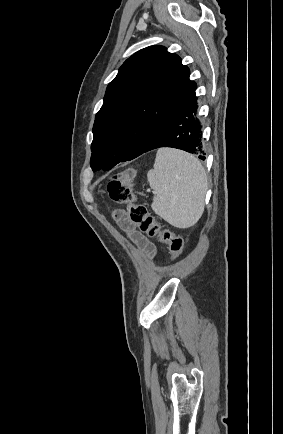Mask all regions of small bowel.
I'll list each match as a JSON object with an SVG mask.
<instances>
[{
    "mask_svg": "<svg viewBox=\"0 0 283 434\" xmlns=\"http://www.w3.org/2000/svg\"><path fill=\"white\" fill-rule=\"evenodd\" d=\"M113 217L120 229L125 232L130 240L138 246L148 257L153 258L157 254L156 245L151 242L142 233L138 232L125 211L116 210L113 213Z\"/></svg>",
    "mask_w": 283,
    "mask_h": 434,
    "instance_id": "1",
    "label": "small bowel"
}]
</instances>
